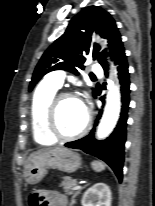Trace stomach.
Wrapping results in <instances>:
<instances>
[{
    "instance_id": "stomach-1",
    "label": "stomach",
    "mask_w": 155,
    "mask_h": 206,
    "mask_svg": "<svg viewBox=\"0 0 155 206\" xmlns=\"http://www.w3.org/2000/svg\"><path fill=\"white\" fill-rule=\"evenodd\" d=\"M81 166L82 161L78 153L65 147H57L35 154L26 166L24 177L26 183L34 185L44 178L48 169L73 173Z\"/></svg>"
}]
</instances>
